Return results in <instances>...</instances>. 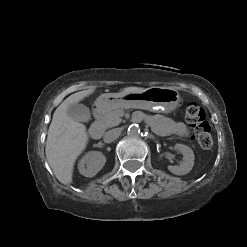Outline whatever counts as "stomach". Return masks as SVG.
<instances>
[{"mask_svg":"<svg viewBox=\"0 0 247 247\" xmlns=\"http://www.w3.org/2000/svg\"><path fill=\"white\" fill-rule=\"evenodd\" d=\"M179 92L172 87H151L143 92L123 96L116 93L102 94L95 101L98 112H106L118 107H133L169 113L180 104Z\"/></svg>","mask_w":247,"mask_h":247,"instance_id":"1","label":"stomach"}]
</instances>
